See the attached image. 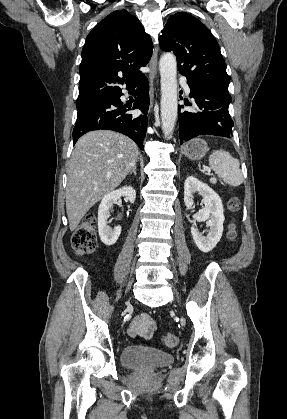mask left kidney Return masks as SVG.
I'll use <instances>...</instances> for the list:
<instances>
[{
  "label": "left kidney",
  "instance_id": "left-kidney-1",
  "mask_svg": "<svg viewBox=\"0 0 287 419\" xmlns=\"http://www.w3.org/2000/svg\"><path fill=\"white\" fill-rule=\"evenodd\" d=\"M198 192L203 197L205 207L193 215V219L199 222L208 221L210 230L207 236H203L193 226L191 234L194 242L202 252L211 251L220 241L223 233V205L218 194L207 184L201 182L194 176H188L184 184V203L187 208L193 206V194Z\"/></svg>",
  "mask_w": 287,
  "mask_h": 419
}]
</instances>
